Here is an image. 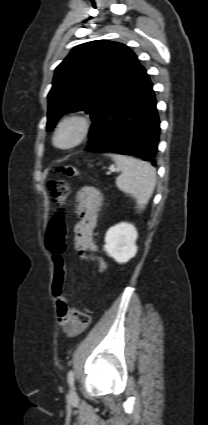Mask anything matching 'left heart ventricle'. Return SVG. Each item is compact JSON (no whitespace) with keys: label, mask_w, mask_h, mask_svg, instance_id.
<instances>
[{"label":"left heart ventricle","mask_w":208,"mask_h":425,"mask_svg":"<svg viewBox=\"0 0 208 425\" xmlns=\"http://www.w3.org/2000/svg\"><path fill=\"white\" fill-rule=\"evenodd\" d=\"M69 136H70V134H69V133H65V134H63V135H62V137H61V141H62V142L67 141V140L69 139Z\"/></svg>","instance_id":"obj_1"}]
</instances>
